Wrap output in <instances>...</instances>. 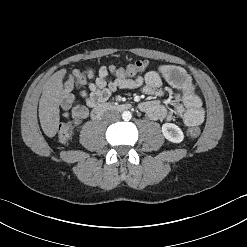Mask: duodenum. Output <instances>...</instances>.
I'll list each match as a JSON object with an SVG mask.
<instances>
[{"mask_svg":"<svg viewBox=\"0 0 247 247\" xmlns=\"http://www.w3.org/2000/svg\"><path fill=\"white\" fill-rule=\"evenodd\" d=\"M131 106L129 104H110L102 103L96 106L92 113L91 117L94 120L100 119L105 113L109 111H125L128 110Z\"/></svg>","mask_w":247,"mask_h":247,"instance_id":"1","label":"duodenum"}]
</instances>
